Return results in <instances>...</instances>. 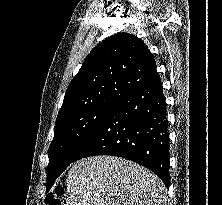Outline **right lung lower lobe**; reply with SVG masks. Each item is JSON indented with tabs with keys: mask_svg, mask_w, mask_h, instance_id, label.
<instances>
[{
	"mask_svg": "<svg viewBox=\"0 0 222 205\" xmlns=\"http://www.w3.org/2000/svg\"><path fill=\"white\" fill-rule=\"evenodd\" d=\"M96 155L132 160L170 185L169 134L160 77L122 98L89 136L74 161Z\"/></svg>",
	"mask_w": 222,
	"mask_h": 205,
	"instance_id": "98d812e1",
	"label": "right lung lower lobe"
}]
</instances>
